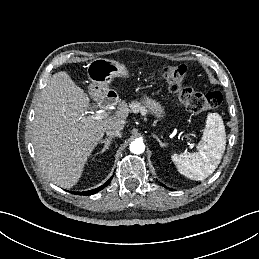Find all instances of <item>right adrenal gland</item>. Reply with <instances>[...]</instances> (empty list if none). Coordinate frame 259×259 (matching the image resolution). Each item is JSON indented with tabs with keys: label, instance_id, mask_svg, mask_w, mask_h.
Here are the masks:
<instances>
[{
	"label": "right adrenal gland",
	"instance_id": "1",
	"mask_svg": "<svg viewBox=\"0 0 259 259\" xmlns=\"http://www.w3.org/2000/svg\"><path fill=\"white\" fill-rule=\"evenodd\" d=\"M113 138H114L113 136H112V137H108V138H105V139H103V140H101V141L99 142L100 145H101V144H104V146H103V148L101 149V151L99 152V154L104 153V152L109 148V146H110V144H111Z\"/></svg>",
	"mask_w": 259,
	"mask_h": 259
}]
</instances>
